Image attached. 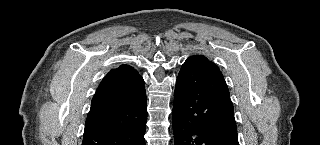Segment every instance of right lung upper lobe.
Returning a JSON list of instances; mask_svg holds the SVG:
<instances>
[{
	"mask_svg": "<svg viewBox=\"0 0 320 145\" xmlns=\"http://www.w3.org/2000/svg\"><path fill=\"white\" fill-rule=\"evenodd\" d=\"M139 77L141 76L137 71L129 65H121L112 69L100 83L92 99L89 114L109 107L111 103L117 101V97L120 95L116 93V90Z\"/></svg>",
	"mask_w": 320,
	"mask_h": 145,
	"instance_id": "right-lung-upper-lobe-1",
	"label": "right lung upper lobe"
}]
</instances>
